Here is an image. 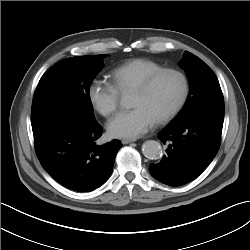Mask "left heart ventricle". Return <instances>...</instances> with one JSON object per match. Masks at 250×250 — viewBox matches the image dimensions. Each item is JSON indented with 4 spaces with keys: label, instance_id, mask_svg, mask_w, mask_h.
Instances as JSON below:
<instances>
[{
    "label": "left heart ventricle",
    "instance_id": "obj_1",
    "mask_svg": "<svg viewBox=\"0 0 250 250\" xmlns=\"http://www.w3.org/2000/svg\"><path fill=\"white\" fill-rule=\"evenodd\" d=\"M182 89L181 80L172 74L161 76L144 94L133 92L132 107H143L157 120L177 101Z\"/></svg>",
    "mask_w": 250,
    "mask_h": 250
}]
</instances>
